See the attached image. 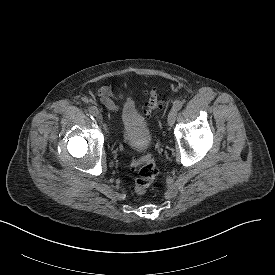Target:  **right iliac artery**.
Returning a JSON list of instances; mask_svg holds the SVG:
<instances>
[{"mask_svg":"<svg viewBox=\"0 0 275 275\" xmlns=\"http://www.w3.org/2000/svg\"><path fill=\"white\" fill-rule=\"evenodd\" d=\"M88 110L92 115H94L95 112L97 111V108L95 106H90Z\"/></svg>","mask_w":275,"mask_h":275,"instance_id":"obj_1","label":"right iliac artery"}]
</instances>
